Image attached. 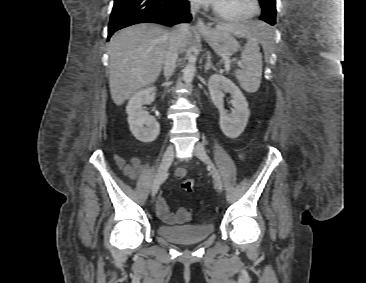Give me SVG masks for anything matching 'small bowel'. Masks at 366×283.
I'll list each match as a JSON object with an SVG mask.
<instances>
[{
	"label": "small bowel",
	"instance_id": "obj_1",
	"mask_svg": "<svg viewBox=\"0 0 366 283\" xmlns=\"http://www.w3.org/2000/svg\"><path fill=\"white\" fill-rule=\"evenodd\" d=\"M116 162L124 175L131 180L136 179L141 174L142 165L139 157H132L128 163H125L123 158L117 156ZM185 174L186 169L184 167H180L175 171L177 178H182ZM156 208L158 216L169 224L183 223L190 218V214L184 208H179L176 213L170 212L163 197L157 199Z\"/></svg>",
	"mask_w": 366,
	"mask_h": 283
}]
</instances>
